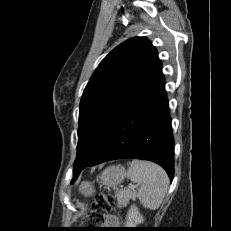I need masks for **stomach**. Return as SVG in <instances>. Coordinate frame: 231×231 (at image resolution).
<instances>
[{"mask_svg":"<svg viewBox=\"0 0 231 231\" xmlns=\"http://www.w3.org/2000/svg\"><path fill=\"white\" fill-rule=\"evenodd\" d=\"M124 174V168L112 166L102 173L101 180L104 185L108 187H115L121 183L124 178ZM80 191L85 196H90L95 192L94 187L89 182H84L80 187Z\"/></svg>","mask_w":231,"mask_h":231,"instance_id":"stomach-1","label":"stomach"}]
</instances>
